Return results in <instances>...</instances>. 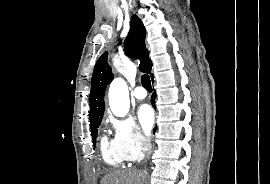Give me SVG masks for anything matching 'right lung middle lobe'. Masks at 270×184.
I'll list each match as a JSON object with an SVG mask.
<instances>
[{"instance_id": "dd1d6c3e", "label": "right lung middle lobe", "mask_w": 270, "mask_h": 184, "mask_svg": "<svg viewBox=\"0 0 270 184\" xmlns=\"http://www.w3.org/2000/svg\"><path fill=\"white\" fill-rule=\"evenodd\" d=\"M100 123H101V121H98V122L90 125V127H91V135H92L94 146L96 144L97 128L99 127Z\"/></svg>"}]
</instances>
